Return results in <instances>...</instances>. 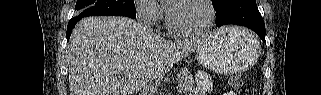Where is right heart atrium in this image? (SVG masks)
<instances>
[{
    "label": "right heart atrium",
    "instance_id": "1",
    "mask_svg": "<svg viewBox=\"0 0 321 95\" xmlns=\"http://www.w3.org/2000/svg\"><path fill=\"white\" fill-rule=\"evenodd\" d=\"M135 12L140 22L145 25L156 24L162 16V10L156 0L135 1Z\"/></svg>",
    "mask_w": 321,
    "mask_h": 95
}]
</instances>
